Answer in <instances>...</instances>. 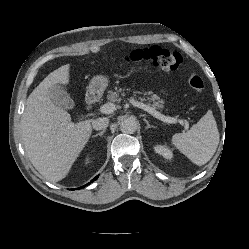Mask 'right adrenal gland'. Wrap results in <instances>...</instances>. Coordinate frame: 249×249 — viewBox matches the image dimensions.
I'll use <instances>...</instances> for the list:
<instances>
[{
	"instance_id": "right-adrenal-gland-1",
	"label": "right adrenal gland",
	"mask_w": 249,
	"mask_h": 249,
	"mask_svg": "<svg viewBox=\"0 0 249 249\" xmlns=\"http://www.w3.org/2000/svg\"><path fill=\"white\" fill-rule=\"evenodd\" d=\"M104 133H105V130H102L101 132L95 134L93 137L102 136Z\"/></svg>"
}]
</instances>
